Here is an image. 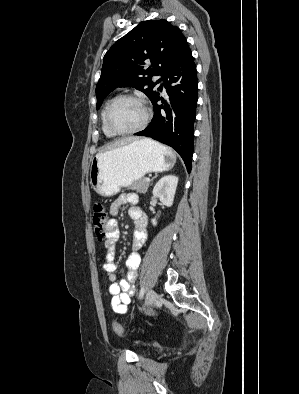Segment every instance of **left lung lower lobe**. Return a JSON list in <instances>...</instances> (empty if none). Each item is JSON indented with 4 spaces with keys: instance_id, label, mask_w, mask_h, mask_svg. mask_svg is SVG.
<instances>
[{
    "instance_id": "0a47b994",
    "label": "left lung lower lobe",
    "mask_w": 299,
    "mask_h": 394,
    "mask_svg": "<svg viewBox=\"0 0 299 394\" xmlns=\"http://www.w3.org/2000/svg\"><path fill=\"white\" fill-rule=\"evenodd\" d=\"M162 80L166 88V97H161V85L151 100L154 107L152 121L145 130L135 135L151 137L171 146L183 158L190 172L198 81L196 66L188 44L163 72ZM159 100L162 102L161 105L157 103Z\"/></svg>"
}]
</instances>
